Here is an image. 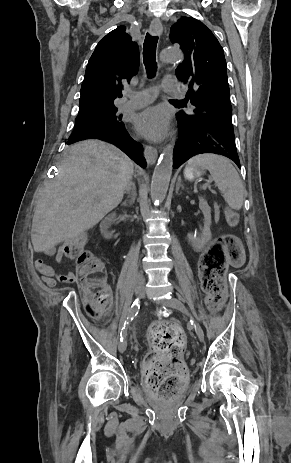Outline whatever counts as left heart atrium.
Here are the masks:
<instances>
[{
  "label": "left heart atrium",
  "instance_id": "obj_1",
  "mask_svg": "<svg viewBox=\"0 0 291 463\" xmlns=\"http://www.w3.org/2000/svg\"><path fill=\"white\" fill-rule=\"evenodd\" d=\"M134 125L138 133L144 137L157 140L167 131L168 114L160 106L150 107L136 115Z\"/></svg>",
  "mask_w": 291,
  "mask_h": 463
}]
</instances>
